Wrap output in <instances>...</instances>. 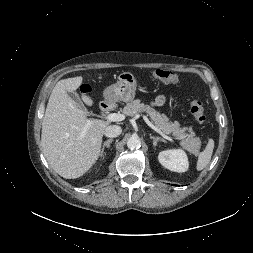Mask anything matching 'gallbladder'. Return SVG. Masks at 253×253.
Segmentation results:
<instances>
[{
    "label": "gallbladder",
    "instance_id": "gallbladder-1",
    "mask_svg": "<svg viewBox=\"0 0 253 253\" xmlns=\"http://www.w3.org/2000/svg\"><path fill=\"white\" fill-rule=\"evenodd\" d=\"M68 96L72 99L74 103H76L80 108H83V104L81 103L80 97L76 92H69Z\"/></svg>",
    "mask_w": 253,
    "mask_h": 253
}]
</instances>
